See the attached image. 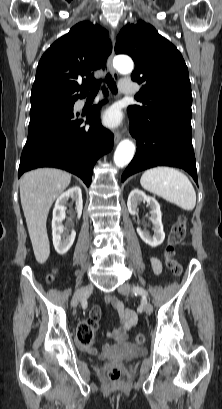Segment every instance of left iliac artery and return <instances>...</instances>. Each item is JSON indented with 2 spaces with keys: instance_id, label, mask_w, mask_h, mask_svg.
Segmentation results:
<instances>
[{
  "instance_id": "44dca946",
  "label": "left iliac artery",
  "mask_w": 222,
  "mask_h": 409,
  "mask_svg": "<svg viewBox=\"0 0 222 409\" xmlns=\"http://www.w3.org/2000/svg\"><path fill=\"white\" fill-rule=\"evenodd\" d=\"M133 292H134L135 295H137V294H142L144 296L148 295V293L143 288L138 287V286L133 288Z\"/></svg>"
}]
</instances>
